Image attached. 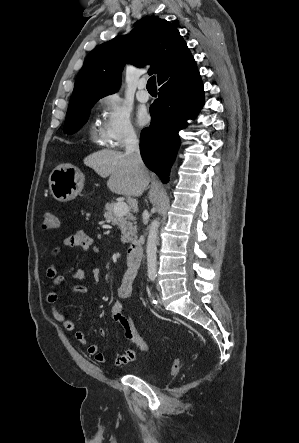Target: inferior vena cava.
<instances>
[{
	"mask_svg": "<svg viewBox=\"0 0 299 443\" xmlns=\"http://www.w3.org/2000/svg\"><path fill=\"white\" fill-rule=\"evenodd\" d=\"M125 149H126L125 154L131 158L134 165L137 168L142 169L144 167V164L140 156L139 142L137 139V135L133 129H129L126 131Z\"/></svg>",
	"mask_w": 299,
	"mask_h": 443,
	"instance_id": "obj_1",
	"label": "inferior vena cava"
}]
</instances>
